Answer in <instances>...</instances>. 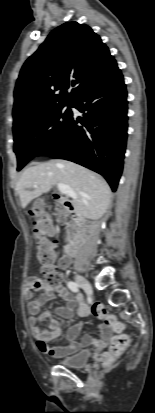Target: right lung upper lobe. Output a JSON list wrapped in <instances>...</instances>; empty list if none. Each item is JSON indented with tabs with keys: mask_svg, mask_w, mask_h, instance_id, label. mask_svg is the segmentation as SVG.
Returning a JSON list of instances; mask_svg holds the SVG:
<instances>
[{
	"mask_svg": "<svg viewBox=\"0 0 155 413\" xmlns=\"http://www.w3.org/2000/svg\"><path fill=\"white\" fill-rule=\"evenodd\" d=\"M116 67L108 47L89 26L77 22L62 24L49 34L20 71L14 91L13 124L72 103L84 88ZM70 86L73 89L67 93Z\"/></svg>",
	"mask_w": 155,
	"mask_h": 413,
	"instance_id": "obj_1",
	"label": "right lung upper lobe"
}]
</instances>
